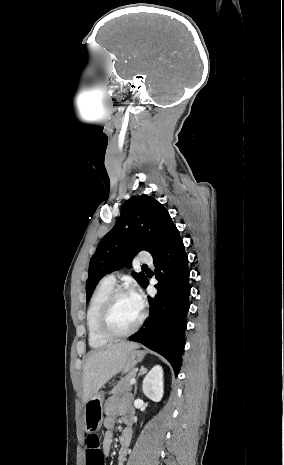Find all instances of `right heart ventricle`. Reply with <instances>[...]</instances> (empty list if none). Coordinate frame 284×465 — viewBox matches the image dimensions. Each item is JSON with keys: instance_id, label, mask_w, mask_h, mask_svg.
<instances>
[{"instance_id": "right-heart-ventricle-1", "label": "right heart ventricle", "mask_w": 284, "mask_h": 465, "mask_svg": "<svg viewBox=\"0 0 284 465\" xmlns=\"http://www.w3.org/2000/svg\"><path fill=\"white\" fill-rule=\"evenodd\" d=\"M114 289V285L100 281L89 300L86 312V332L89 346H109L111 341L98 332V320L102 308Z\"/></svg>"}]
</instances>
